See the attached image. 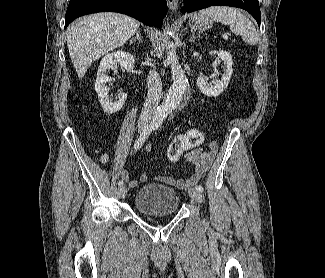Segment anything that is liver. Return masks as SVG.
<instances>
[{
	"instance_id": "liver-1",
	"label": "liver",
	"mask_w": 325,
	"mask_h": 278,
	"mask_svg": "<svg viewBox=\"0 0 325 278\" xmlns=\"http://www.w3.org/2000/svg\"><path fill=\"white\" fill-rule=\"evenodd\" d=\"M139 26L138 20L112 12L89 15L73 23L67 45L78 77L82 79L96 59L126 43Z\"/></svg>"
}]
</instances>
